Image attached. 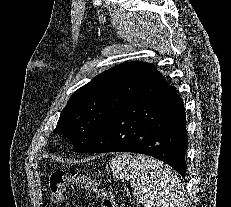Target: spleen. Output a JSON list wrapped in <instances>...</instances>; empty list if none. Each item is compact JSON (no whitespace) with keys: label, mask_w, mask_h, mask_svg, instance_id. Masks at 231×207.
<instances>
[{"label":"spleen","mask_w":231,"mask_h":207,"mask_svg":"<svg viewBox=\"0 0 231 207\" xmlns=\"http://www.w3.org/2000/svg\"><path fill=\"white\" fill-rule=\"evenodd\" d=\"M109 167L116 178L130 181L134 196L144 207H176L184 199L180 179L158 160L124 153L111 158Z\"/></svg>","instance_id":"1"}]
</instances>
